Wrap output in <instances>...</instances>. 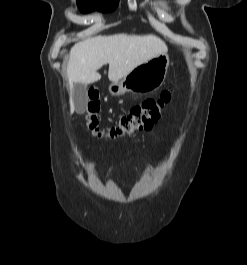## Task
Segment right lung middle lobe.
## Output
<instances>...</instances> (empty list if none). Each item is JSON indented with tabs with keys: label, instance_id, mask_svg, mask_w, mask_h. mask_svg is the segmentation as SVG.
I'll use <instances>...</instances> for the list:
<instances>
[{
	"label": "right lung middle lobe",
	"instance_id": "obj_1",
	"mask_svg": "<svg viewBox=\"0 0 247 265\" xmlns=\"http://www.w3.org/2000/svg\"><path fill=\"white\" fill-rule=\"evenodd\" d=\"M77 5L83 13L93 10L109 12L116 8L118 0H77Z\"/></svg>",
	"mask_w": 247,
	"mask_h": 265
}]
</instances>
